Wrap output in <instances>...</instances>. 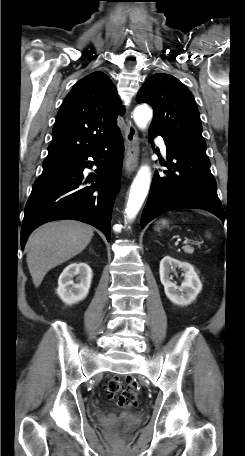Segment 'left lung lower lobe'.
<instances>
[{
	"mask_svg": "<svg viewBox=\"0 0 245 456\" xmlns=\"http://www.w3.org/2000/svg\"><path fill=\"white\" fill-rule=\"evenodd\" d=\"M156 135L165 140L167 162L161 164L168 170L164 171L165 176L155 172L141 227L165 212L180 208L207 210L224 221L208 156L153 131H149V140Z\"/></svg>",
	"mask_w": 245,
	"mask_h": 456,
	"instance_id": "0a47b994",
	"label": "left lung lower lobe"
}]
</instances>
